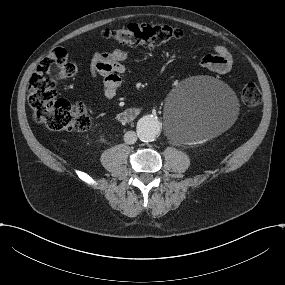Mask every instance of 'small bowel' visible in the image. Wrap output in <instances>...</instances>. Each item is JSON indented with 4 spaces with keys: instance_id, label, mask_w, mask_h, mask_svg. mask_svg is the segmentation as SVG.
<instances>
[{
    "instance_id": "small-bowel-1",
    "label": "small bowel",
    "mask_w": 285,
    "mask_h": 285,
    "mask_svg": "<svg viewBox=\"0 0 285 285\" xmlns=\"http://www.w3.org/2000/svg\"><path fill=\"white\" fill-rule=\"evenodd\" d=\"M127 53L121 49L112 52H95L92 56L89 72L95 79H100L102 92L107 98H113L121 84V77L125 73L124 62ZM201 65L219 74L228 73L233 66L229 50L221 44L213 48V53L205 55Z\"/></svg>"
}]
</instances>
